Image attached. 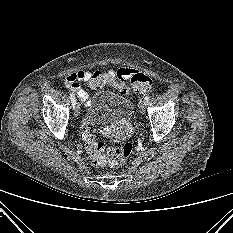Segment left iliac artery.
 I'll list each match as a JSON object with an SVG mask.
<instances>
[{
  "mask_svg": "<svg viewBox=\"0 0 233 233\" xmlns=\"http://www.w3.org/2000/svg\"><path fill=\"white\" fill-rule=\"evenodd\" d=\"M149 100H150V95H147V96L144 98V102H145L146 105L148 104Z\"/></svg>",
  "mask_w": 233,
  "mask_h": 233,
  "instance_id": "1",
  "label": "left iliac artery"
}]
</instances>
